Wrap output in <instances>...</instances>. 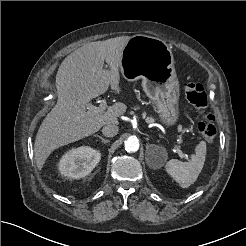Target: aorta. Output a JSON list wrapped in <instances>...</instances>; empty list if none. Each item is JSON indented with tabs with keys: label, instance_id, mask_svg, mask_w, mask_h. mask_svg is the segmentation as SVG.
Instances as JSON below:
<instances>
[{
	"label": "aorta",
	"instance_id": "obj_1",
	"mask_svg": "<svg viewBox=\"0 0 246 246\" xmlns=\"http://www.w3.org/2000/svg\"><path fill=\"white\" fill-rule=\"evenodd\" d=\"M124 146H125V150L129 153H133V152H136L138 151L139 149V141L137 138H134V137H129L125 143H124Z\"/></svg>",
	"mask_w": 246,
	"mask_h": 246
}]
</instances>
